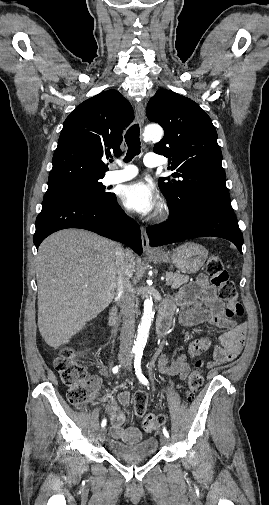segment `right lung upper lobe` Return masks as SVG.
<instances>
[{
  "instance_id": "1",
  "label": "right lung upper lobe",
  "mask_w": 269,
  "mask_h": 505,
  "mask_svg": "<svg viewBox=\"0 0 269 505\" xmlns=\"http://www.w3.org/2000/svg\"><path fill=\"white\" fill-rule=\"evenodd\" d=\"M133 119L131 104L116 90L78 105L64 121L48 189L103 178L108 168L102 158L121 154L123 130Z\"/></svg>"
}]
</instances>
